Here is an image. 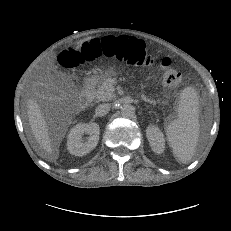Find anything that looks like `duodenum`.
<instances>
[{
  "label": "duodenum",
  "mask_w": 231,
  "mask_h": 231,
  "mask_svg": "<svg viewBox=\"0 0 231 231\" xmlns=\"http://www.w3.org/2000/svg\"><path fill=\"white\" fill-rule=\"evenodd\" d=\"M95 85V79L94 78H88L85 82V90L83 94L79 97V105L82 108H86L92 99L93 94V88Z\"/></svg>",
  "instance_id": "duodenum-1"
}]
</instances>
